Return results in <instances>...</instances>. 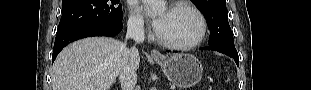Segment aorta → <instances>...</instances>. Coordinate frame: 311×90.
Instances as JSON below:
<instances>
[{"label": "aorta", "instance_id": "1", "mask_svg": "<svg viewBox=\"0 0 311 90\" xmlns=\"http://www.w3.org/2000/svg\"><path fill=\"white\" fill-rule=\"evenodd\" d=\"M142 2L150 8L152 15H156L166 8L164 0H142Z\"/></svg>", "mask_w": 311, "mask_h": 90}]
</instances>
